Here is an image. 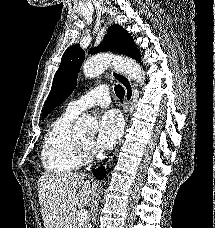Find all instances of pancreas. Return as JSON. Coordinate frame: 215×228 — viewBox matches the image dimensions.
<instances>
[{
  "label": "pancreas",
  "mask_w": 215,
  "mask_h": 228,
  "mask_svg": "<svg viewBox=\"0 0 215 228\" xmlns=\"http://www.w3.org/2000/svg\"><path fill=\"white\" fill-rule=\"evenodd\" d=\"M75 228H79V226H76V222H75Z\"/></svg>",
  "instance_id": "obj_1"
}]
</instances>
